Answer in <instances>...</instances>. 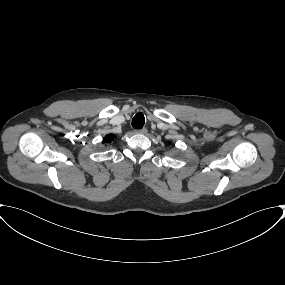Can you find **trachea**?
I'll use <instances>...</instances> for the list:
<instances>
[{
  "label": "trachea",
  "mask_w": 285,
  "mask_h": 285,
  "mask_svg": "<svg viewBox=\"0 0 285 285\" xmlns=\"http://www.w3.org/2000/svg\"><path fill=\"white\" fill-rule=\"evenodd\" d=\"M145 117L142 113H137L132 119V127L135 129H141L144 126Z\"/></svg>",
  "instance_id": "1"
}]
</instances>
